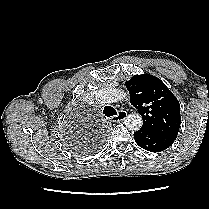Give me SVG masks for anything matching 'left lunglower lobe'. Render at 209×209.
<instances>
[{"label":"left lung lower lobe","mask_w":209,"mask_h":209,"mask_svg":"<svg viewBox=\"0 0 209 209\" xmlns=\"http://www.w3.org/2000/svg\"><path fill=\"white\" fill-rule=\"evenodd\" d=\"M134 139L141 148L150 152H160L171 146L176 138L141 128L134 132Z\"/></svg>","instance_id":"obj_1"}]
</instances>
